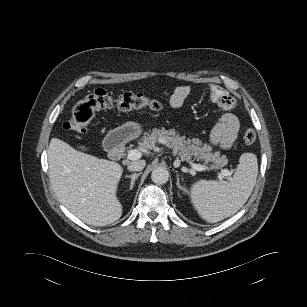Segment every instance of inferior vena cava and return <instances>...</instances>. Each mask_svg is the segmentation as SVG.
<instances>
[{
	"instance_id": "1",
	"label": "inferior vena cava",
	"mask_w": 307,
	"mask_h": 307,
	"mask_svg": "<svg viewBox=\"0 0 307 307\" xmlns=\"http://www.w3.org/2000/svg\"><path fill=\"white\" fill-rule=\"evenodd\" d=\"M145 165V160L132 161L128 164L127 169L129 171H141L144 169Z\"/></svg>"
}]
</instances>
